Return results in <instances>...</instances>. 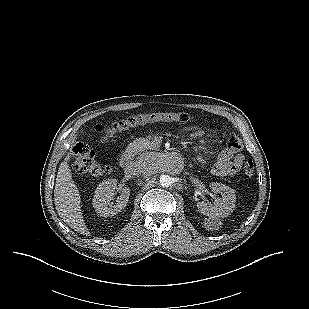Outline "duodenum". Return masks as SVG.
Here are the masks:
<instances>
[{
    "label": "duodenum",
    "mask_w": 309,
    "mask_h": 309,
    "mask_svg": "<svg viewBox=\"0 0 309 309\" xmlns=\"http://www.w3.org/2000/svg\"><path fill=\"white\" fill-rule=\"evenodd\" d=\"M132 162V152L126 151L120 159V163L124 168H128Z\"/></svg>",
    "instance_id": "1"
}]
</instances>
